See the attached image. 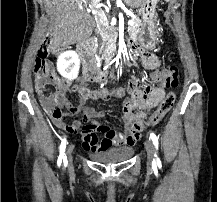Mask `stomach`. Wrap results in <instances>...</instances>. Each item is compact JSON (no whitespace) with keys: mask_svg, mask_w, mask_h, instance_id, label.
I'll list each match as a JSON object with an SVG mask.
<instances>
[{"mask_svg":"<svg viewBox=\"0 0 217 202\" xmlns=\"http://www.w3.org/2000/svg\"><path fill=\"white\" fill-rule=\"evenodd\" d=\"M159 0H144L140 6V16L142 18V26L139 34H137V42L141 48L145 50H154L158 40V30L156 26V10Z\"/></svg>","mask_w":217,"mask_h":202,"instance_id":"1","label":"stomach"}]
</instances>
